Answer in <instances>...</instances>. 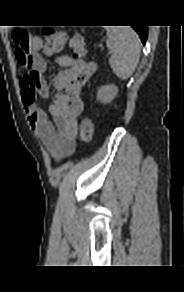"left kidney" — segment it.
<instances>
[{"mask_svg": "<svg viewBox=\"0 0 184 292\" xmlns=\"http://www.w3.org/2000/svg\"><path fill=\"white\" fill-rule=\"evenodd\" d=\"M117 93L118 88L113 84L101 86L97 92V100L103 104L110 103Z\"/></svg>", "mask_w": 184, "mask_h": 292, "instance_id": "5707ae66", "label": "left kidney"}]
</instances>
